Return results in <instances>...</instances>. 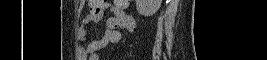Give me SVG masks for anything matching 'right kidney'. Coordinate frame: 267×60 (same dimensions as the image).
Here are the masks:
<instances>
[{
    "label": "right kidney",
    "mask_w": 267,
    "mask_h": 60,
    "mask_svg": "<svg viewBox=\"0 0 267 60\" xmlns=\"http://www.w3.org/2000/svg\"><path fill=\"white\" fill-rule=\"evenodd\" d=\"M162 0H136V9L143 16H152L161 6Z\"/></svg>",
    "instance_id": "ca27d5eb"
}]
</instances>
